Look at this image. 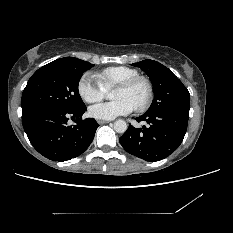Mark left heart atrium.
I'll return each mask as SVG.
<instances>
[{
	"mask_svg": "<svg viewBox=\"0 0 233 233\" xmlns=\"http://www.w3.org/2000/svg\"><path fill=\"white\" fill-rule=\"evenodd\" d=\"M134 106L126 99L98 103L90 108V114L101 120H111L121 115L129 114Z\"/></svg>",
	"mask_w": 233,
	"mask_h": 233,
	"instance_id": "1",
	"label": "left heart atrium"
}]
</instances>
